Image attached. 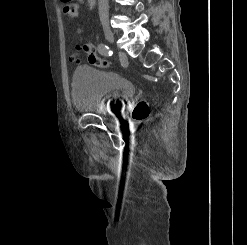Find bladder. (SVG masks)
Instances as JSON below:
<instances>
[{
  "instance_id": "1",
  "label": "bladder",
  "mask_w": 247,
  "mask_h": 245,
  "mask_svg": "<svg viewBox=\"0 0 247 245\" xmlns=\"http://www.w3.org/2000/svg\"><path fill=\"white\" fill-rule=\"evenodd\" d=\"M134 90L129 78L91 66L76 68L72 76V103L82 112L117 113Z\"/></svg>"
}]
</instances>
